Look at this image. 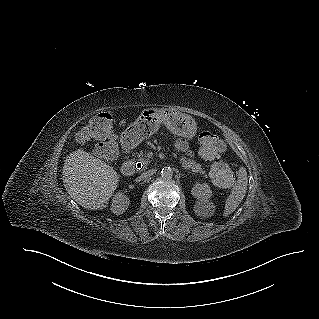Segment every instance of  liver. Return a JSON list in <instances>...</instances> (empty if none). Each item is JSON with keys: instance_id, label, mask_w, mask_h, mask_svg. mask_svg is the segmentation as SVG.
<instances>
[{"instance_id": "1", "label": "liver", "mask_w": 319, "mask_h": 319, "mask_svg": "<svg viewBox=\"0 0 319 319\" xmlns=\"http://www.w3.org/2000/svg\"><path fill=\"white\" fill-rule=\"evenodd\" d=\"M62 173L64 187L70 197L91 210L107 206L120 178L112 166L82 148L67 156Z\"/></svg>"}]
</instances>
